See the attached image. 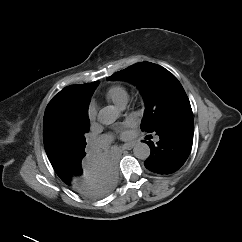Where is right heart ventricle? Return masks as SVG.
<instances>
[{
    "label": "right heart ventricle",
    "mask_w": 242,
    "mask_h": 242,
    "mask_svg": "<svg viewBox=\"0 0 242 242\" xmlns=\"http://www.w3.org/2000/svg\"><path fill=\"white\" fill-rule=\"evenodd\" d=\"M106 99L120 107L128 101V91L123 85H113L106 91Z\"/></svg>",
    "instance_id": "obj_1"
}]
</instances>
